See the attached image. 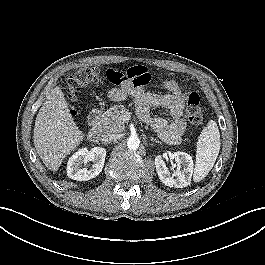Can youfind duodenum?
<instances>
[{
  "mask_svg": "<svg viewBox=\"0 0 265 265\" xmlns=\"http://www.w3.org/2000/svg\"><path fill=\"white\" fill-rule=\"evenodd\" d=\"M101 117H102V110L97 108L94 109L88 117V123L90 126L89 132H88V138L91 142L96 143L99 141L101 137V127H100V122H101Z\"/></svg>",
  "mask_w": 265,
  "mask_h": 265,
  "instance_id": "410a0bca",
  "label": "duodenum"
}]
</instances>
